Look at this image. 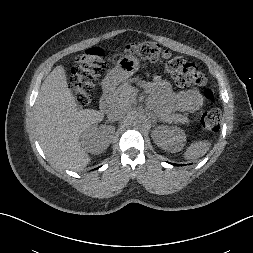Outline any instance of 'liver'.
Returning a JSON list of instances; mask_svg holds the SVG:
<instances>
[{
    "mask_svg": "<svg viewBox=\"0 0 253 253\" xmlns=\"http://www.w3.org/2000/svg\"><path fill=\"white\" fill-rule=\"evenodd\" d=\"M137 93L136 88L127 86L126 99L121 104L128 102L129 109ZM103 118V111L79 110L62 65L44 80L33 111L35 131L47 159L75 171L84 169L91 161L80 142L82 133Z\"/></svg>",
    "mask_w": 253,
    "mask_h": 253,
    "instance_id": "obj_1",
    "label": "liver"
}]
</instances>
